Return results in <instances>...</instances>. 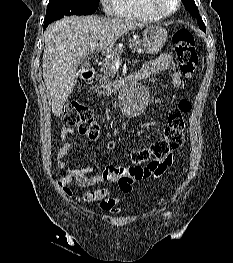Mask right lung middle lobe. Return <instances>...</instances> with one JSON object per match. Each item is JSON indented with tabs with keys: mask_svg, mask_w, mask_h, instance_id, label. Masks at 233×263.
Listing matches in <instances>:
<instances>
[{
	"mask_svg": "<svg viewBox=\"0 0 233 263\" xmlns=\"http://www.w3.org/2000/svg\"><path fill=\"white\" fill-rule=\"evenodd\" d=\"M98 5L99 0H50L45 21L53 22L68 15L93 14Z\"/></svg>",
	"mask_w": 233,
	"mask_h": 263,
	"instance_id": "dd1d6c3e",
	"label": "right lung middle lobe"
}]
</instances>
